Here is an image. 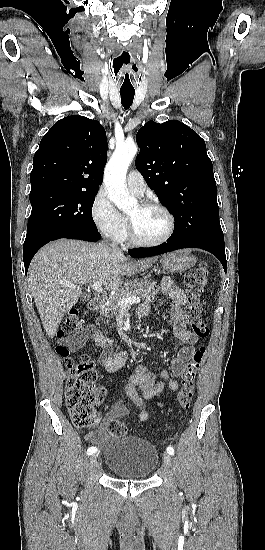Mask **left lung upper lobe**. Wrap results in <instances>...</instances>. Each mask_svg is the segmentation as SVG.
<instances>
[{
	"instance_id": "obj_1",
	"label": "left lung upper lobe",
	"mask_w": 265,
	"mask_h": 550,
	"mask_svg": "<svg viewBox=\"0 0 265 550\" xmlns=\"http://www.w3.org/2000/svg\"><path fill=\"white\" fill-rule=\"evenodd\" d=\"M137 142L136 168L174 216L169 241L199 240L225 247L205 141L187 125L170 120L147 122Z\"/></svg>"
}]
</instances>
